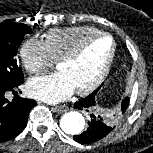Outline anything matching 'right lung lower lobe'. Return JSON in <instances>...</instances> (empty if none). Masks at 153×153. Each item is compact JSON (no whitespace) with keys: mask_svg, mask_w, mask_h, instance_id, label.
Returning a JSON list of instances; mask_svg holds the SVG:
<instances>
[{"mask_svg":"<svg viewBox=\"0 0 153 153\" xmlns=\"http://www.w3.org/2000/svg\"><path fill=\"white\" fill-rule=\"evenodd\" d=\"M22 83H0V142L10 140L24 130L29 112L36 105V101L31 99L15 97L10 102L5 98L7 91H14Z\"/></svg>","mask_w":153,"mask_h":153,"instance_id":"1","label":"right lung lower lobe"}]
</instances>
